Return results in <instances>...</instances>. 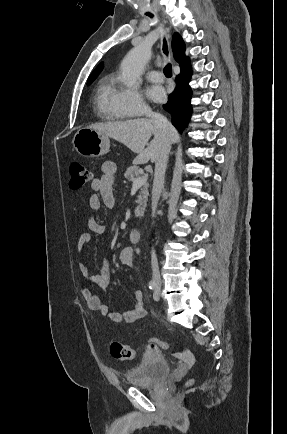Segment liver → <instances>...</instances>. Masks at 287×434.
Segmentation results:
<instances>
[{
	"label": "liver",
	"instance_id": "obj_1",
	"mask_svg": "<svg viewBox=\"0 0 287 434\" xmlns=\"http://www.w3.org/2000/svg\"><path fill=\"white\" fill-rule=\"evenodd\" d=\"M89 128L121 142L131 151L137 153L134 163L155 161L158 152V136L157 127L152 119L139 118L120 122L97 123ZM170 129L171 143H177L180 136L172 125H170ZM152 135L154 138L148 143Z\"/></svg>",
	"mask_w": 287,
	"mask_h": 434
}]
</instances>
